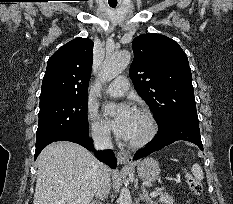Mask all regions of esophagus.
Returning <instances> with one entry per match:
<instances>
[{"instance_id":"obj_1","label":"esophagus","mask_w":233,"mask_h":204,"mask_svg":"<svg viewBox=\"0 0 233 204\" xmlns=\"http://www.w3.org/2000/svg\"><path fill=\"white\" fill-rule=\"evenodd\" d=\"M116 157L119 164L127 165L132 162L131 154L126 151H118Z\"/></svg>"}]
</instances>
